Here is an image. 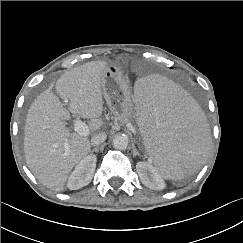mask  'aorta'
I'll return each instance as SVG.
<instances>
[{
    "instance_id": "aorta-1",
    "label": "aorta",
    "mask_w": 243,
    "mask_h": 243,
    "mask_svg": "<svg viewBox=\"0 0 243 243\" xmlns=\"http://www.w3.org/2000/svg\"><path fill=\"white\" fill-rule=\"evenodd\" d=\"M113 147L115 149L124 150L128 147L129 138L126 135H117L112 141Z\"/></svg>"
}]
</instances>
